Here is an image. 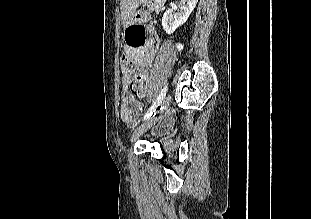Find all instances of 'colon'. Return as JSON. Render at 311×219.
<instances>
[{
    "instance_id": "5ec220e1",
    "label": "colon",
    "mask_w": 311,
    "mask_h": 219,
    "mask_svg": "<svg viewBox=\"0 0 311 219\" xmlns=\"http://www.w3.org/2000/svg\"><path fill=\"white\" fill-rule=\"evenodd\" d=\"M145 29L142 26H131L127 30V42L138 44L144 38ZM122 73L128 75L134 73L138 68V63L129 56H122L120 60ZM146 78L143 75L137 76L131 82V90L134 94L143 95L145 93Z\"/></svg>"
}]
</instances>
